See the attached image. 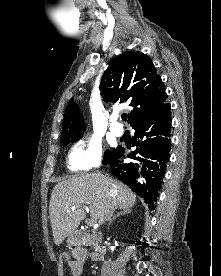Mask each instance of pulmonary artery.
I'll return each mask as SVG.
<instances>
[{
	"label": "pulmonary artery",
	"mask_w": 221,
	"mask_h": 276,
	"mask_svg": "<svg viewBox=\"0 0 221 276\" xmlns=\"http://www.w3.org/2000/svg\"><path fill=\"white\" fill-rule=\"evenodd\" d=\"M111 132L116 136H121L123 134V127L117 122V117H114L110 125Z\"/></svg>",
	"instance_id": "pulmonary-artery-1"
}]
</instances>
